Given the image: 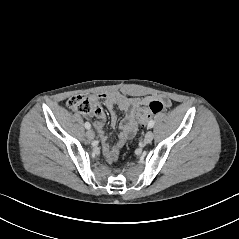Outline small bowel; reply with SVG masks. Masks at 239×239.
I'll use <instances>...</instances> for the list:
<instances>
[{
    "label": "small bowel",
    "mask_w": 239,
    "mask_h": 239,
    "mask_svg": "<svg viewBox=\"0 0 239 239\" xmlns=\"http://www.w3.org/2000/svg\"><path fill=\"white\" fill-rule=\"evenodd\" d=\"M89 99L94 104L93 115L97 118V120L94 122V127L98 131V134L102 141L104 155L108 160H114L117 157L119 148L122 146V144L126 140L131 138L136 132V109L140 105L150 102L151 98L129 97L120 92H109L91 95ZM99 100L104 101L106 108L110 112L112 127H115L117 125V115L114 111V108L118 107L125 113V117L120 123L118 142L112 147L109 145L108 137L104 131L106 116L99 104ZM164 103L166 106H170L169 100H164Z\"/></svg>",
    "instance_id": "small-bowel-1"
}]
</instances>
